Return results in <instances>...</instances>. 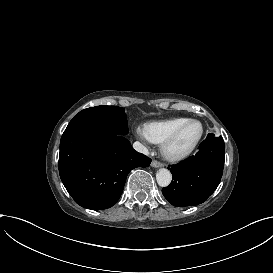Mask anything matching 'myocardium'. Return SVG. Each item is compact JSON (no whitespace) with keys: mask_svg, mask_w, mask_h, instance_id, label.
Segmentation results:
<instances>
[{"mask_svg":"<svg viewBox=\"0 0 273 273\" xmlns=\"http://www.w3.org/2000/svg\"><path fill=\"white\" fill-rule=\"evenodd\" d=\"M197 122L201 125L202 130L200 135L195 139V141L187 148L180 149L178 148L177 144L178 141L184 131V129L191 123ZM206 133V125L203 121L200 119L191 118L181 124L176 130L173 132V134L163 143V152L165 156L172 160V161H182L189 156L196 150L198 145L201 143L204 135Z\"/></svg>","mask_w":273,"mask_h":273,"instance_id":"myocardium-1","label":"myocardium"}]
</instances>
